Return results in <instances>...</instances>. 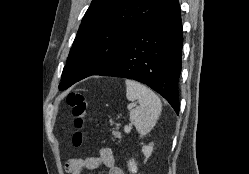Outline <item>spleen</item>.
Listing matches in <instances>:
<instances>
[{
	"mask_svg": "<svg viewBox=\"0 0 249 174\" xmlns=\"http://www.w3.org/2000/svg\"><path fill=\"white\" fill-rule=\"evenodd\" d=\"M126 97L129 101H136L130 112V121L135 125L141 137L155 126L161 111L162 103L159 97L145 85L127 79Z\"/></svg>",
	"mask_w": 249,
	"mask_h": 174,
	"instance_id": "3e777b00",
	"label": "spleen"
}]
</instances>
